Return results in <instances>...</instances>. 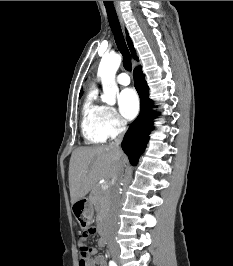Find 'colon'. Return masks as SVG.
Listing matches in <instances>:
<instances>
[{"mask_svg": "<svg viewBox=\"0 0 233 266\" xmlns=\"http://www.w3.org/2000/svg\"><path fill=\"white\" fill-rule=\"evenodd\" d=\"M96 232V229L94 228H89L85 232H82L79 238V250L81 254V259H80V266L83 265L84 260L90 256L91 254V247L87 244L86 238L90 234H94Z\"/></svg>", "mask_w": 233, "mask_h": 266, "instance_id": "5ec220e1", "label": "colon"}]
</instances>
